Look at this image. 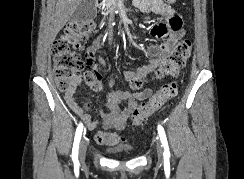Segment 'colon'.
<instances>
[{"label":"colon","instance_id":"colon-1","mask_svg":"<svg viewBox=\"0 0 244 179\" xmlns=\"http://www.w3.org/2000/svg\"><path fill=\"white\" fill-rule=\"evenodd\" d=\"M173 3L174 0H167ZM81 23V24H80ZM94 31V24L91 21H83L68 24L57 38L54 46V75L61 90L71 92L84 81L90 90L97 92L101 83L98 73L79 54L80 41L87 39ZM165 30L162 29V32ZM192 44L188 39L176 43L173 50L164 64V72L173 78L179 76L190 57ZM145 84L140 78L131 80V87L138 91ZM178 85L176 82L164 84L153 96L138 105L132 112V121L136 126L143 125L155 112L170 102L177 94ZM110 106L116 110L114 102Z\"/></svg>","mask_w":244,"mask_h":179}]
</instances>
